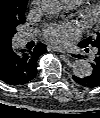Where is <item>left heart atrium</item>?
<instances>
[{
	"label": "left heart atrium",
	"mask_w": 100,
	"mask_h": 118,
	"mask_svg": "<svg viewBox=\"0 0 100 118\" xmlns=\"http://www.w3.org/2000/svg\"><path fill=\"white\" fill-rule=\"evenodd\" d=\"M43 37L55 46H63L79 35L78 29L68 23H54L45 27Z\"/></svg>",
	"instance_id": "left-heart-atrium-1"
}]
</instances>
